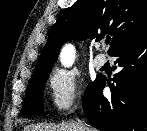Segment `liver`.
Instances as JSON below:
<instances>
[{"mask_svg":"<svg viewBox=\"0 0 147 131\" xmlns=\"http://www.w3.org/2000/svg\"><path fill=\"white\" fill-rule=\"evenodd\" d=\"M23 131H95L92 128L84 127L79 122H63L54 124H30L24 127Z\"/></svg>","mask_w":147,"mask_h":131,"instance_id":"obj_1","label":"liver"}]
</instances>
